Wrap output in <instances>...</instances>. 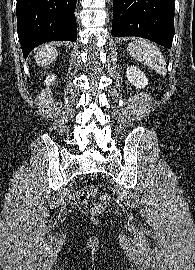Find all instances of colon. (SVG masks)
I'll return each mask as SVG.
<instances>
[{
	"mask_svg": "<svg viewBox=\"0 0 195 270\" xmlns=\"http://www.w3.org/2000/svg\"><path fill=\"white\" fill-rule=\"evenodd\" d=\"M98 193V188L96 186H91L89 189L77 190L73 195V201L77 205L84 204L89 195H95ZM102 204H108L110 202V197L104 194L100 198ZM102 204H93L90 208V212L93 215H98L102 212Z\"/></svg>",
	"mask_w": 195,
	"mask_h": 270,
	"instance_id": "1",
	"label": "colon"
}]
</instances>
